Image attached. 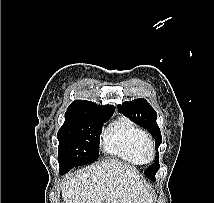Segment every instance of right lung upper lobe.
<instances>
[{"label": "right lung upper lobe", "mask_w": 214, "mask_h": 203, "mask_svg": "<svg viewBox=\"0 0 214 203\" xmlns=\"http://www.w3.org/2000/svg\"><path fill=\"white\" fill-rule=\"evenodd\" d=\"M70 110H89L101 115H112L114 112L113 105L98 106L94 102L75 100L68 107Z\"/></svg>", "instance_id": "1"}]
</instances>
